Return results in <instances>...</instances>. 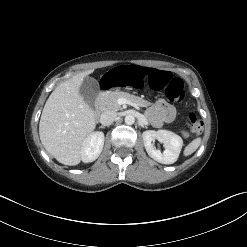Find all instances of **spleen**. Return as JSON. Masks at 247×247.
Masks as SVG:
<instances>
[{
  "mask_svg": "<svg viewBox=\"0 0 247 247\" xmlns=\"http://www.w3.org/2000/svg\"><path fill=\"white\" fill-rule=\"evenodd\" d=\"M200 144H201V138L194 139L184 149V155L188 156V155H191L192 153H194L198 149Z\"/></svg>",
  "mask_w": 247,
  "mask_h": 247,
  "instance_id": "obj_1",
  "label": "spleen"
}]
</instances>
